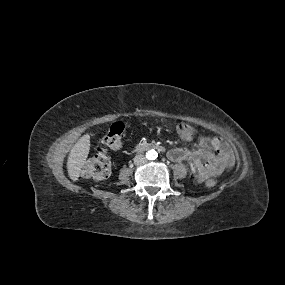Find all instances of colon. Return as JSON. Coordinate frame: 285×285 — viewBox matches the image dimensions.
<instances>
[{
	"label": "colon",
	"mask_w": 285,
	"mask_h": 285,
	"mask_svg": "<svg viewBox=\"0 0 285 285\" xmlns=\"http://www.w3.org/2000/svg\"><path fill=\"white\" fill-rule=\"evenodd\" d=\"M125 127L121 122L113 123L102 140V146L97 149V152L90 157L83 165L81 174L84 178H93L96 180H105L111 173V162L106 152V148L120 149L123 144V133ZM179 136L186 141H191L195 138L196 129L187 123H180L177 126ZM216 181L210 178L206 181L207 187H214Z\"/></svg>",
	"instance_id": "colon-1"
}]
</instances>
